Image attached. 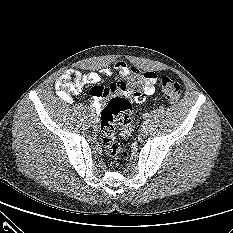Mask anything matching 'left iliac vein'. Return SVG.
I'll use <instances>...</instances> for the list:
<instances>
[{
    "instance_id": "left-iliac-vein-1",
    "label": "left iliac vein",
    "mask_w": 233,
    "mask_h": 233,
    "mask_svg": "<svg viewBox=\"0 0 233 233\" xmlns=\"http://www.w3.org/2000/svg\"><path fill=\"white\" fill-rule=\"evenodd\" d=\"M149 132V125L148 123H143L142 127H141V130H140V133L141 135L145 136L147 135Z\"/></svg>"
}]
</instances>
